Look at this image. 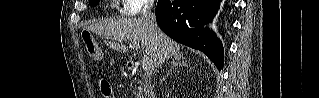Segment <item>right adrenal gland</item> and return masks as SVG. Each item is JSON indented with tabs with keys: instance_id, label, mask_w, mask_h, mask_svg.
<instances>
[{
	"instance_id": "obj_1",
	"label": "right adrenal gland",
	"mask_w": 319,
	"mask_h": 98,
	"mask_svg": "<svg viewBox=\"0 0 319 98\" xmlns=\"http://www.w3.org/2000/svg\"><path fill=\"white\" fill-rule=\"evenodd\" d=\"M172 66L170 67L169 71L166 73V75L163 77L162 80H165V78L168 76V74L170 72H172V70H174V68L178 67V66H187L188 67V62L186 60L185 57H183L182 54H178L176 56L173 57V60H172Z\"/></svg>"
}]
</instances>
